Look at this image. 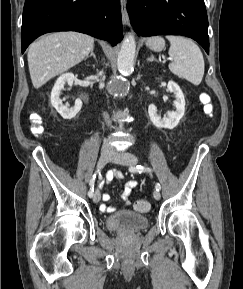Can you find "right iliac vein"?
Segmentation results:
<instances>
[{"label":"right iliac vein","mask_w":243,"mask_h":289,"mask_svg":"<svg viewBox=\"0 0 243 289\" xmlns=\"http://www.w3.org/2000/svg\"><path fill=\"white\" fill-rule=\"evenodd\" d=\"M111 158H112V152H110L109 150H103L98 160V164H97L98 169L103 168L107 164V162L111 160ZM100 199H101V193L99 190H96L93 195V202L98 203Z\"/></svg>","instance_id":"63e3f726"}]
</instances>
